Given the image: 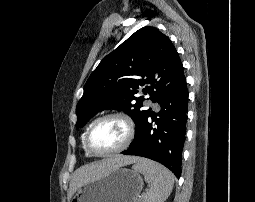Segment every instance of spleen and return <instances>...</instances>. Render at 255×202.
Masks as SVG:
<instances>
[{
  "mask_svg": "<svg viewBox=\"0 0 255 202\" xmlns=\"http://www.w3.org/2000/svg\"><path fill=\"white\" fill-rule=\"evenodd\" d=\"M133 170L141 173L150 189L143 196V202H164L174 185V175L164 166L144 158H139Z\"/></svg>",
  "mask_w": 255,
  "mask_h": 202,
  "instance_id": "1",
  "label": "spleen"
}]
</instances>
